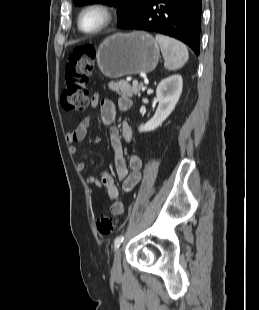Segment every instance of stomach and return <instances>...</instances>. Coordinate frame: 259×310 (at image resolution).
<instances>
[{
	"mask_svg": "<svg viewBox=\"0 0 259 310\" xmlns=\"http://www.w3.org/2000/svg\"><path fill=\"white\" fill-rule=\"evenodd\" d=\"M160 58L157 41L148 33H116L99 46L96 59L102 74L108 78L148 73Z\"/></svg>",
	"mask_w": 259,
	"mask_h": 310,
	"instance_id": "1",
	"label": "stomach"
}]
</instances>
